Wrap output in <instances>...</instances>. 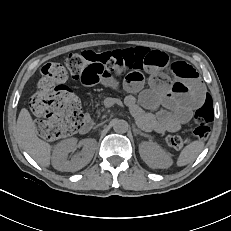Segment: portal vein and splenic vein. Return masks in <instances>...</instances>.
Masks as SVG:
<instances>
[{
  "instance_id": "18ae733b",
  "label": "portal vein and splenic vein",
  "mask_w": 231,
  "mask_h": 231,
  "mask_svg": "<svg viewBox=\"0 0 231 231\" xmlns=\"http://www.w3.org/2000/svg\"><path fill=\"white\" fill-rule=\"evenodd\" d=\"M114 103H117V101H115L114 99H109L104 102V105L106 107H111Z\"/></svg>"
}]
</instances>
